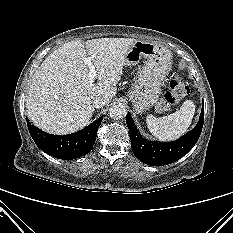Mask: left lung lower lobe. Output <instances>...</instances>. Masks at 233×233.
Here are the masks:
<instances>
[{"label":"left lung lower lobe","mask_w":233,"mask_h":233,"mask_svg":"<svg viewBox=\"0 0 233 233\" xmlns=\"http://www.w3.org/2000/svg\"><path fill=\"white\" fill-rule=\"evenodd\" d=\"M204 122V103L197 125L188 133L172 142H152L143 138L128 112L126 123L130 132L134 155L142 162L152 166L171 164L186 155L196 144Z\"/></svg>","instance_id":"1"}]
</instances>
